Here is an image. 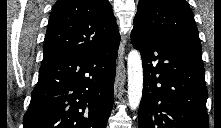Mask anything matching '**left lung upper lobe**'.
Returning <instances> with one entry per match:
<instances>
[{"instance_id": "1", "label": "left lung upper lobe", "mask_w": 221, "mask_h": 128, "mask_svg": "<svg viewBox=\"0 0 221 128\" xmlns=\"http://www.w3.org/2000/svg\"><path fill=\"white\" fill-rule=\"evenodd\" d=\"M132 31L169 39L202 55L193 13L185 0H140Z\"/></svg>"}]
</instances>
